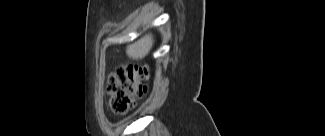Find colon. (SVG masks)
<instances>
[{"mask_svg": "<svg viewBox=\"0 0 325 136\" xmlns=\"http://www.w3.org/2000/svg\"><path fill=\"white\" fill-rule=\"evenodd\" d=\"M148 68L137 65L119 66L109 77V105L116 114H126L138 98L147 92Z\"/></svg>", "mask_w": 325, "mask_h": 136, "instance_id": "1", "label": "colon"}]
</instances>
